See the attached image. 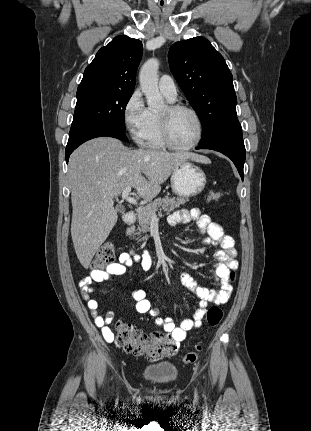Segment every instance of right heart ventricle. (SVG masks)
<instances>
[{
	"instance_id": "e07e8e85",
	"label": "right heart ventricle",
	"mask_w": 311,
	"mask_h": 431,
	"mask_svg": "<svg viewBox=\"0 0 311 431\" xmlns=\"http://www.w3.org/2000/svg\"><path fill=\"white\" fill-rule=\"evenodd\" d=\"M167 99L171 102L175 100L168 97ZM159 115L160 113L157 111L148 110V118L143 130L144 142L148 147L154 149H161L166 146L161 139Z\"/></svg>"
}]
</instances>
